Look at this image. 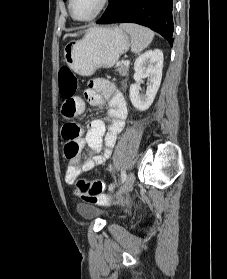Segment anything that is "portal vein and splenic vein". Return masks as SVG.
<instances>
[{
    "label": "portal vein and splenic vein",
    "instance_id": "obj_1",
    "mask_svg": "<svg viewBox=\"0 0 227 279\" xmlns=\"http://www.w3.org/2000/svg\"><path fill=\"white\" fill-rule=\"evenodd\" d=\"M129 63H130L129 60H125V61L123 62L124 65H129Z\"/></svg>",
    "mask_w": 227,
    "mask_h": 279
}]
</instances>
